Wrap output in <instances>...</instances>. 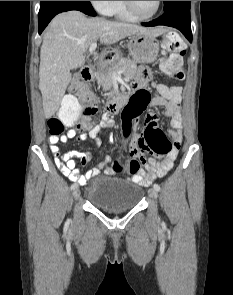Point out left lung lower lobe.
I'll return each mask as SVG.
<instances>
[{
  "label": "left lung lower lobe",
  "mask_w": 233,
  "mask_h": 295,
  "mask_svg": "<svg viewBox=\"0 0 233 295\" xmlns=\"http://www.w3.org/2000/svg\"><path fill=\"white\" fill-rule=\"evenodd\" d=\"M144 26L166 25L179 29L184 36L192 42L190 1L177 2L174 6L164 11V14L147 23Z\"/></svg>",
  "instance_id": "1"
}]
</instances>
